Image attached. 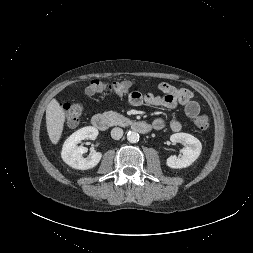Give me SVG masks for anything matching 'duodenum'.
I'll return each mask as SVG.
<instances>
[{
  "label": "duodenum",
  "mask_w": 253,
  "mask_h": 253,
  "mask_svg": "<svg viewBox=\"0 0 253 253\" xmlns=\"http://www.w3.org/2000/svg\"><path fill=\"white\" fill-rule=\"evenodd\" d=\"M92 125L99 130H106L109 127V120L104 114H96L92 117ZM132 129L139 133H147L152 129V125L142 122L135 121L131 125Z\"/></svg>",
  "instance_id": "duodenum-1"
}]
</instances>
